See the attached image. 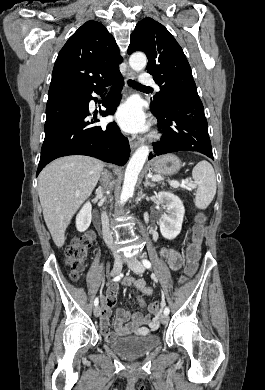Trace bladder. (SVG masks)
Returning <instances> with one entry per match:
<instances>
[{"instance_id": "bladder-1", "label": "bladder", "mask_w": 265, "mask_h": 390, "mask_svg": "<svg viewBox=\"0 0 265 390\" xmlns=\"http://www.w3.org/2000/svg\"><path fill=\"white\" fill-rule=\"evenodd\" d=\"M160 345L156 335L145 336H115L109 340L110 348L127 359L143 357Z\"/></svg>"}]
</instances>
